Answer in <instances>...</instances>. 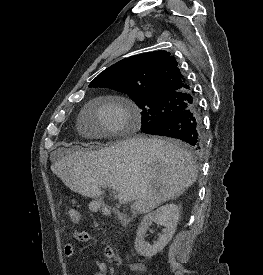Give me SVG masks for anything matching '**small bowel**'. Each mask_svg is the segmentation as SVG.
<instances>
[{
	"label": "small bowel",
	"mask_w": 263,
	"mask_h": 275,
	"mask_svg": "<svg viewBox=\"0 0 263 275\" xmlns=\"http://www.w3.org/2000/svg\"><path fill=\"white\" fill-rule=\"evenodd\" d=\"M72 240L78 242L96 241L95 237L87 231H74L72 233ZM73 241L68 242L63 248V253L68 258L72 257L75 253V246ZM114 254V249L111 246L106 245L104 247V256L106 258H112L114 257ZM96 266L98 271L92 275H108V268L104 262H97Z\"/></svg>",
	"instance_id": "obj_1"
}]
</instances>
